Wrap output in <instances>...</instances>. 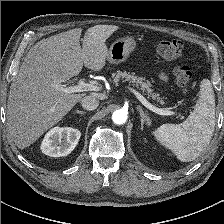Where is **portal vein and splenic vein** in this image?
Returning <instances> with one entry per match:
<instances>
[{
  "mask_svg": "<svg viewBox=\"0 0 224 224\" xmlns=\"http://www.w3.org/2000/svg\"><path fill=\"white\" fill-rule=\"evenodd\" d=\"M55 88L60 90L61 92L65 94H70L74 92H84V91H95L97 90V86L89 83H85L83 79L78 80V84L75 86H70V87H60L59 85H55ZM126 88L131 91L137 99L149 110L159 114V115H177L175 111L169 110V109H164V108H158L152 105L150 102L147 101V99L142 96L138 91L135 89L126 86Z\"/></svg>",
  "mask_w": 224,
  "mask_h": 224,
  "instance_id": "obj_1",
  "label": "portal vein and splenic vein"
}]
</instances>
